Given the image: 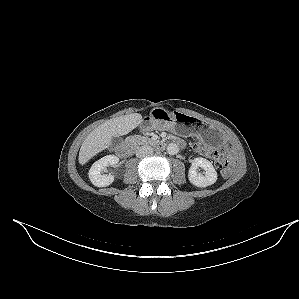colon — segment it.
Returning a JSON list of instances; mask_svg holds the SVG:
<instances>
[{
  "mask_svg": "<svg viewBox=\"0 0 299 299\" xmlns=\"http://www.w3.org/2000/svg\"><path fill=\"white\" fill-rule=\"evenodd\" d=\"M194 147L201 154L212 158L215 166L221 170L223 176H229L231 174V167L229 166L225 154L221 149L209 148L202 146L199 143H196Z\"/></svg>",
  "mask_w": 299,
  "mask_h": 299,
  "instance_id": "obj_1",
  "label": "colon"
}]
</instances>
